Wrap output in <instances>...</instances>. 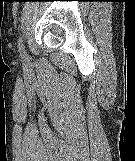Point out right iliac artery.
<instances>
[{
  "mask_svg": "<svg viewBox=\"0 0 135 161\" xmlns=\"http://www.w3.org/2000/svg\"><path fill=\"white\" fill-rule=\"evenodd\" d=\"M18 48H19L20 55L23 58H26V53H25V50H24V47H23V43H22V39L21 38L18 41Z\"/></svg>",
  "mask_w": 135,
  "mask_h": 161,
  "instance_id": "82829eb1",
  "label": "right iliac artery"
}]
</instances>
